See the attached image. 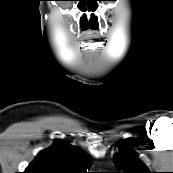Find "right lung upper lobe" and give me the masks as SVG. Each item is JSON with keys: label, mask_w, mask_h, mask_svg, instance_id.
Returning a JSON list of instances; mask_svg holds the SVG:
<instances>
[{"label": "right lung upper lobe", "mask_w": 173, "mask_h": 173, "mask_svg": "<svg viewBox=\"0 0 173 173\" xmlns=\"http://www.w3.org/2000/svg\"><path fill=\"white\" fill-rule=\"evenodd\" d=\"M91 162L84 152L63 140L42 150L24 173H87Z\"/></svg>", "instance_id": "right-lung-upper-lobe-1"}]
</instances>
